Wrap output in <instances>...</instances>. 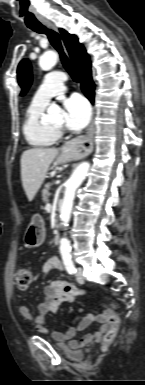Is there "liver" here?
<instances>
[{"mask_svg":"<svg viewBox=\"0 0 145 385\" xmlns=\"http://www.w3.org/2000/svg\"><path fill=\"white\" fill-rule=\"evenodd\" d=\"M58 153L56 148H31L22 153L21 180L29 201L34 199Z\"/></svg>","mask_w":145,"mask_h":385,"instance_id":"1","label":"liver"}]
</instances>
